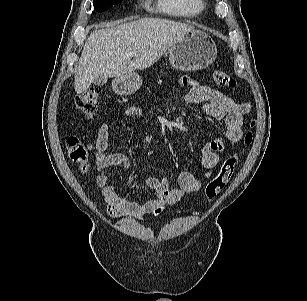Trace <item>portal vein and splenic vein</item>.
Masks as SVG:
<instances>
[{
    "mask_svg": "<svg viewBox=\"0 0 307 301\" xmlns=\"http://www.w3.org/2000/svg\"><path fill=\"white\" fill-rule=\"evenodd\" d=\"M136 55H137L136 52H129V53H128V56H130V57H133V56H136Z\"/></svg>",
    "mask_w": 307,
    "mask_h": 301,
    "instance_id": "1",
    "label": "portal vein and splenic vein"
}]
</instances>
